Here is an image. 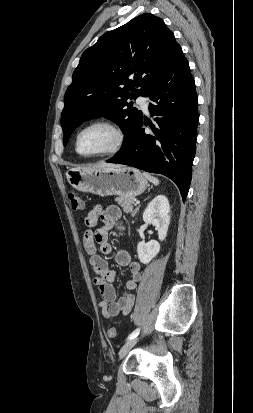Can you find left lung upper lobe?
I'll list each match as a JSON object with an SVG mask.
<instances>
[{"label": "left lung upper lobe", "mask_w": 253, "mask_h": 413, "mask_svg": "<svg viewBox=\"0 0 253 413\" xmlns=\"http://www.w3.org/2000/svg\"><path fill=\"white\" fill-rule=\"evenodd\" d=\"M179 48L163 20L149 13L102 35L83 52L65 93L61 115L64 146L81 123L105 116L123 130L125 149L142 120V112L127 100L147 97Z\"/></svg>", "instance_id": "1"}]
</instances>
